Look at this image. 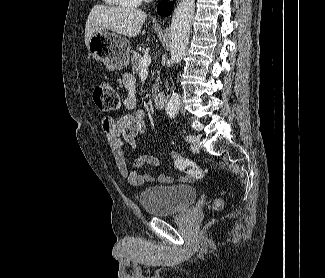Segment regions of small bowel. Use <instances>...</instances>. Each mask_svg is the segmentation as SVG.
<instances>
[{
  "instance_id": "1",
  "label": "small bowel",
  "mask_w": 325,
  "mask_h": 278,
  "mask_svg": "<svg viewBox=\"0 0 325 278\" xmlns=\"http://www.w3.org/2000/svg\"><path fill=\"white\" fill-rule=\"evenodd\" d=\"M122 83L127 91L124 109L130 113L118 119L105 117L102 120V128L115 156L118 170L121 176L133 186H142L145 183L154 182L156 179L161 183H170L172 182L170 176L159 175L155 177L152 174H141L139 172L142 168L158 166L160 160L156 156L143 154L138 149L137 137L145 132L146 114L144 110L135 108L137 98L134 78L130 74H124ZM126 145L131 148L134 155L132 168H129L126 163L123 151Z\"/></svg>"
}]
</instances>
